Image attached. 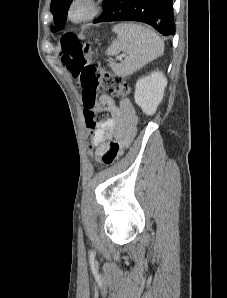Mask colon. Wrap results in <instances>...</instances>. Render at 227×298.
<instances>
[{
	"label": "colon",
	"instance_id": "obj_1",
	"mask_svg": "<svg viewBox=\"0 0 227 298\" xmlns=\"http://www.w3.org/2000/svg\"><path fill=\"white\" fill-rule=\"evenodd\" d=\"M92 47L81 42L73 34L64 35L60 42V57L70 74L78 78L82 88L86 127L94 130L98 124L108 119L105 111L97 109V90L102 88L110 93L124 95L129 92L126 81L106 70L89 63ZM90 141V136L88 137Z\"/></svg>",
	"mask_w": 227,
	"mask_h": 298
}]
</instances>
